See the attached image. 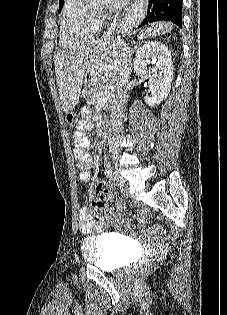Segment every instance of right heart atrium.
I'll return each instance as SVG.
<instances>
[{"label":"right heart atrium","instance_id":"d8ad5b80","mask_svg":"<svg viewBox=\"0 0 227 315\" xmlns=\"http://www.w3.org/2000/svg\"><path fill=\"white\" fill-rule=\"evenodd\" d=\"M98 19H99L100 22H103L106 19V15L105 14H100L98 16Z\"/></svg>","mask_w":227,"mask_h":315}]
</instances>
